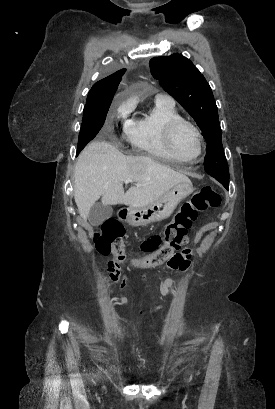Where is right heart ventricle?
I'll return each instance as SVG.
<instances>
[{
	"label": "right heart ventricle",
	"mask_w": 275,
	"mask_h": 409,
	"mask_svg": "<svg viewBox=\"0 0 275 409\" xmlns=\"http://www.w3.org/2000/svg\"><path fill=\"white\" fill-rule=\"evenodd\" d=\"M181 119L174 106L157 103L150 114L131 122L127 128V138L132 152L148 157H171L165 135L169 123Z\"/></svg>",
	"instance_id": "1"
}]
</instances>
